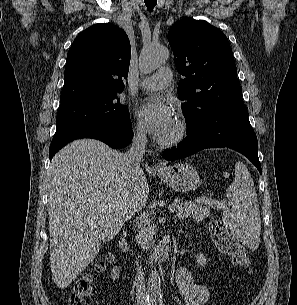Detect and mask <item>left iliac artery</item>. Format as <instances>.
<instances>
[{
	"label": "left iliac artery",
	"instance_id": "obj_1",
	"mask_svg": "<svg viewBox=\"0 0 297 305\" xmlns=\"http://www.w3.org/2000/svg\"><path fill=\"white\" fill-rule=\"evenodd\" d=\"M155 305H163L162 295H156L154 299Z\"/></svg>",
	"mask_w": 297,
	"mask_h": 305
}]
</instances>
